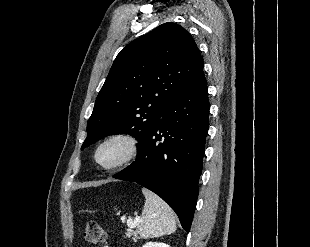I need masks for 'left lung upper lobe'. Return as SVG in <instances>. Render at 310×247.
Here are the masks:
<instances>
[{
  "mask_svg": "<svg viewBox=\"0 0 310 247\" xmlns=\"http://www.w3.org/2000/svg\"><path fill=\"white\" fill-rule=\"evenodd\" d=\"M203 70L191 35L164 23L130 42L117 55L87 123L82 149L112 134L145 143L169 103Z\"/></svg>",
  "mask_w": 310,
  "mask_h": 247,
  "instance_id": "left-lung-upper-lobe-1",
  "label": "left lung upper lobe"
}]
</instances>
